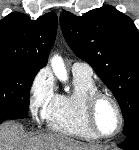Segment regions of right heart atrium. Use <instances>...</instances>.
<instances>
[{
  "label": "right heart atrium",
  "instance_id": "obj_1",
  "mask_svg": "<svg viewBox=\"0 0 139 150\" xmlns=\"http://www.w3.org/2000/svg\"><path fill=\"white\" fill-rule=\"evenodd\" d=\"M30 111L34 118L44 116L45 110L55 96L54 85L45 71L38 72L30 88Z\"/></svg>",
  "mask_w": 139,
  "mask_h": 150
}]
</instances>
